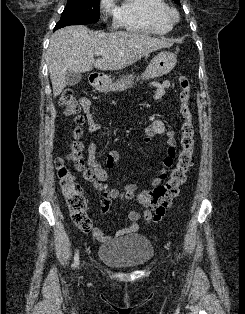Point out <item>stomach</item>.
<instances>
[{
	"mask_svg": "<svg viewBox=\"0 0 245 314\" xmlns=\"http://www.w3.org/2000/svg\"><path fill=\"white\" fill-rule=\"evenodd\" d=\"M177 59L176 55L169 51L160 52L154 59L149 63L144 73L141 77L145 80L154 79L157 77H161L167 73H169L176 65ZM125 83L121 80L118 83H113L111 79L106 76H98L93 82V86L100 92H110V91H123L127 89V87L131 86L130 81L133 80V76H128Z\"/></svg>",
	"mask_w": 245,
	"mask_h": 314,
	"instance_id": "stomach-1",
	"label": "stomach"
}]
</instances>
